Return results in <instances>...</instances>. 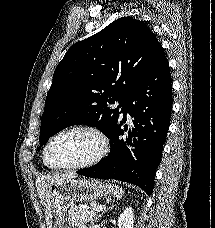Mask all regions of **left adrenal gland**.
<instances>
[{
    "label": "left adrenal gland",
    "mask_w": 215,
    "mask_h": 228,
    "mask_svg": "<svg viewBox=\"0 0 215 228\" xmlns=\"http://www.w3.org/2000/svg\"><path fill=\"white\" fill-rule=\"evenodd\" d=\"M106 212V210H105ZM105 212H101L100 216H98V218H101V216H103V214H105ZM98 218H96V220H98ZM96 220H94V222H96Z\"/></svg>",
    "instance_id": "left-adrenal-gland-1"
}]
</instances>
